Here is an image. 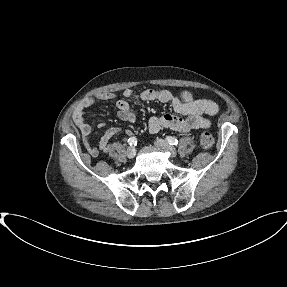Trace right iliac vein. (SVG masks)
Here are the masks:
<instances>
[{
  "label": "right iliac vein",
  "mask_w": 287,
  "mask_h": 287,
  "mask_svg": "<svg viewBox=\"0 0 287 287\" xmlns=\"http://www.w3.org/2000/svg\"><path fill=\"white\" fill-rule=\"evenodd\" d=\"M126 155L128 158H134L135 155H136V149L135 147L131 146V147H128L127 150H126Z\"/></svg>",
  "instance_id": "63e3f726"
}]
</instances>
